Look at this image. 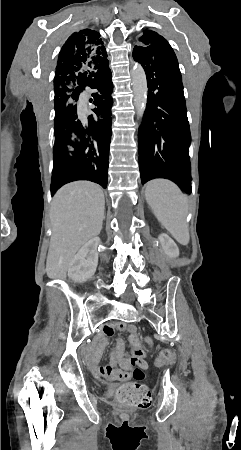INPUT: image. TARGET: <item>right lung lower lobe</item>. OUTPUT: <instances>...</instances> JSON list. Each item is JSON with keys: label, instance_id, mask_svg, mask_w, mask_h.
<instances>
[{"label": "right lung lower lobe", "instance_id": "obj_1", "mask_svg": "<svg viewBox=\"0 0 241 450\" xmlns=\"http://www.w3.org/2000/svg\"><path fill=\"white\" fill-rule=\"evenodd\" d=\"M108 65L109 62L95 66L70 76L65 82L71 90L65 99L72 102L78 100L85 87L97 89L98 93L92 94L96 106L92 111L102 118L94 121L91 117L88 125L83 126L78 120L77 106L73 105L61 111L55 119L52 195L64 184L76 180H89L103 188L107 186L113 104V83Z\"/></svg>", "mask_w": 241, "mask_h": 450}]
</instances>
